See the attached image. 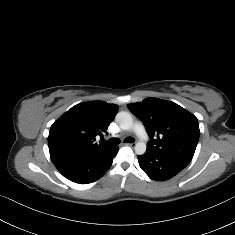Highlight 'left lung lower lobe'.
I'll return each instance as SVG.
<instances>
[{
    "instance_id": "left-lung-lower-lobe-1",
    "label": "left lung lower lobe",
    "mask_w": 235,
    "mask_h": 235,
    "mask_svg": "<svg viewBox=\"0 0 235 235\" xmlns=\"http://www.w3.org/2000/svg\"><path fill=\"white\" fill-rule=\"evenodd\" d=\"M141 169L153 180L165 181L181 172L189 162L172 155L146 150L137 156Z\"/></svg>"
}]
</instances>
